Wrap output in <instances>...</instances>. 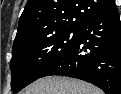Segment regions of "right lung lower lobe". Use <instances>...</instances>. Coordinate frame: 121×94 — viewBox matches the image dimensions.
Returning a JSON list of instances; mask_svg holds the SVG:
<instances>
[{
    "instance_id": "right-lung-lower-lobe-1",
    "label": "right lung lower lobe",
    "mask_w": 121,
    "mask_h": 94,
    "mask_svg": "<svg viewBox=\"0 0 121 94\" xmlns=\"http://www.w3.org/2000/svg\"><path fill=\"white\" fill-rule=\"evenodd\" d=\"M62 75L121 94V22L116 5L81 24L74 47L40 78Z\"/></svg>"
}]
</instances>
